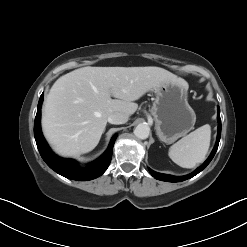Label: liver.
Listing matches in <instances>:
<instances>
[{
	"instance_id": "1",
	"label": "liver",
	"mask_w": 247,
	"mask_h": 247,
	"mask_svg": "<svg viewBox=\"0 0 247 247\" xmlns=\"http://www.w3.org/2000/svg\"><path fill=\"white\" fill-rule=\"evenodd\" d=\"M176 80L186 82L154 66L76 69L51 87L42 114L43 133L59 155L88 153L99 143L111 113L134 114L138 105L133 101L162 82Z\"/></svg>"
}]
</instances>
